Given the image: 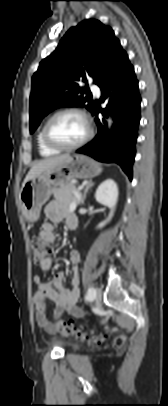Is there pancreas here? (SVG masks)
<instances>
[{"instance_id":"pancreas-1","label":"pancreas","mask_w":168,"mask_h":406,"mask_svg":"<svg viewBox=\"0 0 168 406\" xmlns=\"http://www.w3.org/2000/svg\"><path fill=\"white\" fill-rule=\"evenodd\" d=\"M78 193L79 190L73 183H69L64 187L53 190L56 202L65 209H68L73 202L77 203Z\"/></svg>"}]
</instances>
